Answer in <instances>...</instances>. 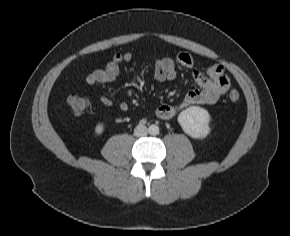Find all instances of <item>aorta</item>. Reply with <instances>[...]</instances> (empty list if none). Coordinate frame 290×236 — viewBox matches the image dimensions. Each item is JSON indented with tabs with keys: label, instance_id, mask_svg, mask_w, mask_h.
<instances>
[{
	"label": "aorta",
	"instance_id": "1",
	"mask_svg": "<svg viewBox=\"0 0 290 236\" xmlns=\"http://www.w3.org/2000/svg\"><path fill=\"white\" fill-rule=\"evenodd\" d=\"M149 133H150L151 135H156V134H158V133H159V127L156 126V125H151V126L149 127Z\"/></svg>",
	"mask_w": 290,
	"mask_h": 236
}]
</instances>
